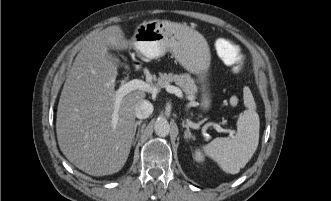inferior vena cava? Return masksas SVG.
Listing matches in <instances>:
<instances>
[{"label":"inferior vena cava","mask_w":331,"mask_h":201,"mask_svg":"<svg viewBox=\"0 0 331 201\" xmlns=\"http://www.w3.org/2000/svg\"><path fill=\"white\" fill-rule=\"evenodd\" d=\"M153 105L147 100L141 101L135 108V116L139 119L148 118L153 112Z\"/></svg>","instance_id":"602c4592"}]
</instances>
